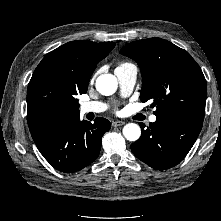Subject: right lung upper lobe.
<instances>
[{
	"label": "right lung upper lobe",
	"mask_w": 221,
	"mask_h": 221,
	"mask_svg": "<svg viewBox=\"0 0 221 221\" xmlns=\"http://www.w3.org/2000/svg\"><path fill=\"white\" fill-rule=\"evenodd\" d=\"M114 42L76 40L49 52L35 69L27 91L29 129L63 116L80 114L77 95L86 93L89 79Z\"/></svg>",
	"instance_id": "right-lung-upper-lobe-1"
}]
</instances>
